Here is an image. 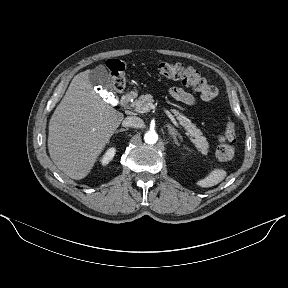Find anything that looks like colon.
Wrapping results in <instances>:
<instances>
[{"label": "colon", "mask_w": 288, "mask_h": 288, "mask_svg": "<svg viewBox=\"0 0 288 288\" xmlns=\"http://www.w3.org/2000/svg\"><path fill=\"white\" fill-rule=\"evenodd\" d=\"M107 68L111 74L113 87L117 91H122L126 85L125 65L117 59L107 61ZM159 73L170 80H180L183 84L191 86L200 93L206 101L215 100L219 91L217 87L210 84L202 74L193 67L179 63L163 62L159 64ZM235 123L229 119L224 134L219 138L216 155L220 160H229L235 155Z\"/></svg>", "instance_id": "5ec220e1"}]
</instances>
